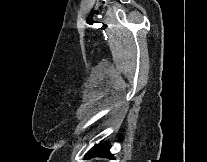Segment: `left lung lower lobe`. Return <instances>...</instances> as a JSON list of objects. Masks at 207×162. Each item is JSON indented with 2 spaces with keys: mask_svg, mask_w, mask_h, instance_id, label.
<instances>
[{
  "mask_svg": "<svg viewBox=\"0 0 207 162\" xmlns=\"http://www.w3.org/2000/svg\"><path fill=\"white\" fill-rule=\"evenodd\" d=\"M109 149H110V145L107 143L96 145L87 153L86 158H90L94 156L111 157L112 155L110 154Z\"/></svg>",
  "mask_w": 207,
  "mask_h": 162,
  "instance_id": "obj_1",
  "label": "left lung lower lobe"
}]
</instances>
